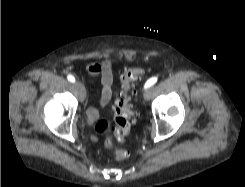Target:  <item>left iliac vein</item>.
I'll list each match as a JSON object with an SVG mask.
<instances>
[{
    "label": "left iliac vein",
    "mask_w": 245,
    "mask_h": 187,
    "mask_svg": "<svg viewBox=\"0 0 245 187\" xmlns=\"http://www.w3.org/2000/svg\"><path fill=\"white\" fill-rule=\"evenodd\" d=\"M150 95H151V90H150V88H146V89L144 90V92H143L144 99H145V100H149Z\"/></svg>",
    "instance_id": "left-iliac-vein-1"
}]
</instances>
